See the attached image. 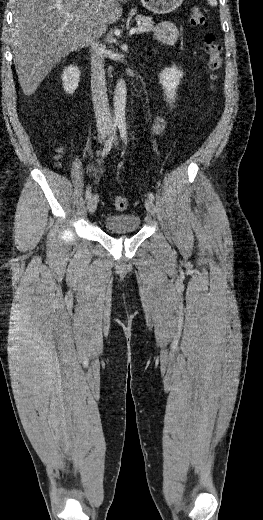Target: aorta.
Returning <instances> with one entry per match:
<instances>
[{
    "label": "aorta",
    "mask_w": 263,
    "mask_h": 520,
    "mask_svg": "<svg viewBox=\"0 0 263 520\" xmlns=\"http://www.w3.org/2000/svg\"><path fill=\"white\" fill-rule=\"evenodd\" d=\"M127 97V88L124 79H119L117 81L115 91H114V120L115 121H124L125 120V108H126V98Z\"/></svg>",
    "instance_id": "762f6f07"
}]
</instances>
